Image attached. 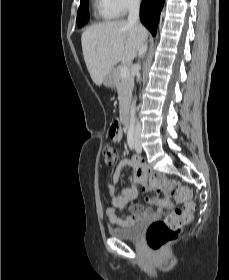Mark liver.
Returning <instances> with one entry per match:
<instances>
[{
	"instance_id": "obj_1",
	"label": "liver",
	"mask_w": 229,
	"mask_h": 280,
	"mask_svg": "<svg viewBox=\"0 0 229 280\" xmlns=\"http://www.w3.org/2000/svg\"><path fill=\"white\" fill-rule=\"evenodd\" d=\"M147 38V31L128 21L92 25L81 36L82 51L93 82L100 86L107 73L120 61L130 63Z\"/></svg>"
}]
</instances>
